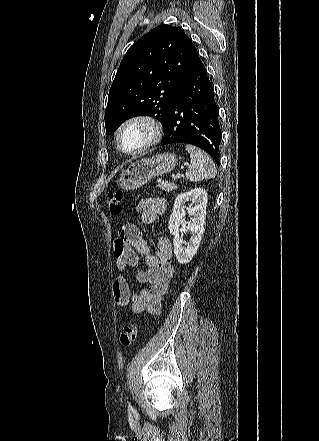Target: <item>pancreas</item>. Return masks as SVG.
<instances>
[{"label": "pancreas", "instance_id": "cf45deb5", "mask_svg": "<svg viewBox=\"0 0 319 441\" xmlns=\"http://www.w3.org/2000/svg\"><path fill=\"white\" fill-rule=\"evenodd\" d=\"M158 187L161 190H164L165 192H172L173 190L177 189V186L174 183L166 182L163 180H157Z\"/></svg>", "mask_w": 319, "mask_h": 441}]
</instances>
